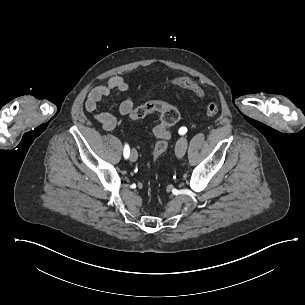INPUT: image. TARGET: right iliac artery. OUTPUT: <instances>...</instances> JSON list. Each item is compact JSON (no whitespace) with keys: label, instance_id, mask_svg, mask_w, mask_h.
<instances>
[{"label":"right iliac artery","instance_id":"obj_1","mask_svg":"<svg viewBox=\"0 0 305 305\" xmlns=\"http://www.w3.org/2000/svg\"><path fill=\"white\" fill-rule=\"evenodd\" d=\"M123 155H124L125 159H127L130 155V148H129L128 144H126L125 147H124Z\"/></svg>","mask_w":305,"mask_h":305}]
</instances>
